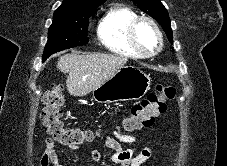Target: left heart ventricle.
Masks as SVG:
<instances>
[{"label":"left heart ventricle","instance_id":"1","mask_svg":"<svg viewBox=\"0 0 227 166\" xmlns=\"http://www.w3.org/2000/svg\"><path fill=\"white\" fill-rule=\"evenodd\" d=\"M136 37L141 48L150 52L156 49L158 38L153 28L146 22H142L136 29Z\"/></svg>","mask_w":227,"mask_h":166}]
</instances>
